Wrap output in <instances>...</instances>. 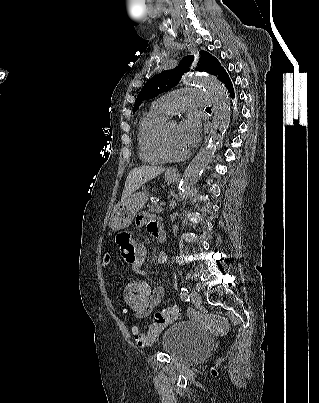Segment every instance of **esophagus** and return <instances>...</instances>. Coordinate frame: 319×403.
Returning <instances> with one entry per match:
<instances>
[{
  "mask_svg": "<svg viewBox=\"0 0 319 403\" xmlns=\"http://www.w3.org/2000/svg\"><path fill=\"white\" fill-rule=\"evenodd\" d=\"M212 131H213V129H211L210 133H211ZM209 136H210V134H209L208 136H206V138H205V143L208 141ZM172 171L175 172V173H179L177 169H173Z\"/></svg>",
  "mask_w": 319,
  "mask_h": 403,
  "instance_id": "34e87169",
  "label": "esophagus"
}]
</instances>
